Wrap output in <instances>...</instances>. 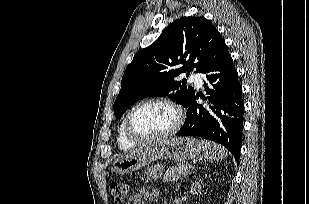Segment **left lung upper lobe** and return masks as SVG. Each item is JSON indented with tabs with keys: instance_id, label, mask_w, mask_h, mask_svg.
<instances>
[{
	"instance_id": "obj_1",
	"label": "left lung upper lobe",
	"mask_w": 309,
	"mask_h": 204,
	"mask_svg": "<svg viewBox=\"0 0 309 204\" xmlns=\"http://www.w3.org/2000/svg\"><path fill=\"white\" fill-rule=\"evenodd\" d=\"M227 47L215 26L204 17H181L171 23L150 46L139 51L127 66L121 89L114 103L120 118L138 100L168 96L187 108L195 95L185 80L193 69L203 73Z\"/></svg>"
}]
</instances>
